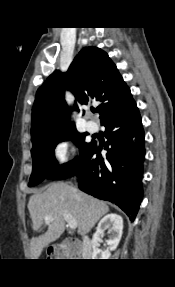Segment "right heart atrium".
I'll return each instance as SVG.
<instances>
[{"label":"right heart atrium","instance_id":"right-heart-atrium-1","mask_svg":"<svg viewBox=\"0 0 175 287\" xmlns=\"http://www.w3.org/2000/svg\"><path fill=\"white\" fill-rule=\"evenodd\" d=\"M75 154V146L69 139H60L52 148V157L57 164H66Z\"/></svg>","mask_w":175,"mask_h":287}]
</instances>
